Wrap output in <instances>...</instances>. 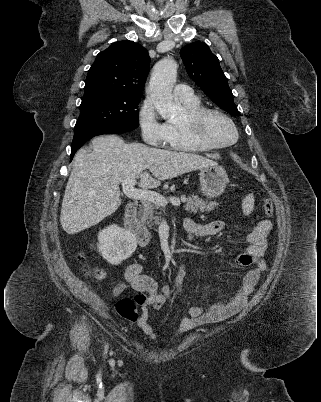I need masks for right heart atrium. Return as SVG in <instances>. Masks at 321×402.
<instances>
[{"label":"right heart atrium","mask_w":321,"mask_h":402,"mask_svg":"<svg viewBox=\"0 0 321 402\" xmlns=\"http://www.w3.org/2000/svg\"><path fill=\"white\" fill-rule=\"evenodd\" d=\"M142 139L149 145L161 146L166 141V124L162 122L154 105L145 100L138 112Z\"/></svg>","instance_id":"1"}]
</instances>
